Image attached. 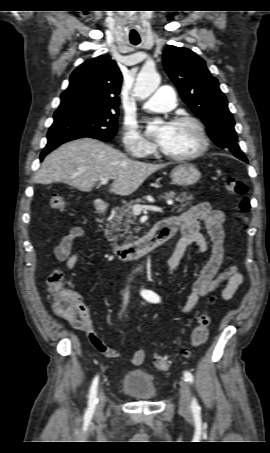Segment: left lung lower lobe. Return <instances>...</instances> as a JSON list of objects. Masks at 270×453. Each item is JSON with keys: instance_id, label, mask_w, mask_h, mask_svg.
<instances>
[{"instance_id": "left-lung-lower-lobe-1", "label": "left lung lower lobe", "mask_w": 270, "mask_h": 453, "mask_svg": "<svg viewBox=\"0 0 270 453\" xmlns=\"http://www.w3.org/2000/svg\"><path fill=\"white\" fill-rule=\"evenodd\" d=\"M237 158L243 160L244 162H248V161H247V158L245 157V155H240V156H238Z\"/></svg>"}]
</instances>
